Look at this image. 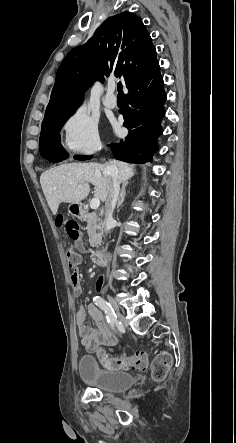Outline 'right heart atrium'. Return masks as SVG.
Wrapping results in <instances>:
<instances>
[{
  "label": "right heart atrium",
  "mask_w": 236,
  "mask_h": 443,
  "mask_svg": "<svg viewBox=\"0 0 236 443\" xmlns=\"http://www.w3.org/2000/svg\"><path fill=\"white\" fill-rule=\"evenodd\" d=\"M63 146L71 156L87 157L101 148L98 122L84 109H76L62 125Z\"/></svg>",
  "instance_id": "obj_1"
}]
</instances>
